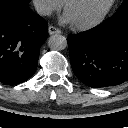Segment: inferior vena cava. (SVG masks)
<instances>
[{
	"label": "inferior vena cava",
	"instance_id": "1",
	"mask_svg": "<svg viewBox=\"0 0 128 128\" xmlns=\"http://www.w3.org/2000/svg\"><path fill=\"white\" fill-rule=\"evenodd\" d=\"M35 9L39 14L44 15V16L51 15V13H52V8L43 2L36 3Z\"/></svg>",
	"mask_w": 128,
	"mask_h": 128
}]
</instances>
